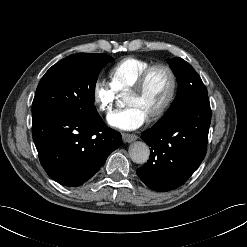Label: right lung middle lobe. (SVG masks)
I'll list each match as a JSON object with an SVG mask.
<instances>
[{"instance_id": "obj_1", "label": "right lung middle lobe", "mask_w": 247, "mask_h": 247, "mask_svg": "<svg viewBox=\"0 0 247 247\" xmlns=\"http://www.w3.org/2000/svg\"><path fill=\"white\" fill-rule=\"evenodd\" d=\"M112 59L109 55L79 53L53 65L42 77L32 103V117L62 109L94 117L95 85L101 69Z\"/></svg>"}]
</instances>
